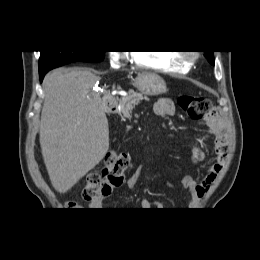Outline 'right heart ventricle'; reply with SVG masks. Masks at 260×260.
<instances>
[{
  "instance_id": "1",
  "label": "right heart ventricle",
  "mask_w": 260,
  "mask_h": 260,
  "mask_svg": "<svg viewBox=\"0 0 260 260\" xmlns=\"http://www.w3.org/2000/svg\"><path fill=\"white\" fill-rule=\"evenodd\" d=\"M132 59L140 67L167 73H186L190 67L180 55L168 51H135L132 53Z\"/></svg>"
}]
</instances>
